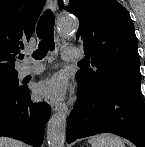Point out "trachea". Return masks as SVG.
<instances>
[{
  "mask_svg": "<svg viewBox=\"0 0 145 147\" xmlns=\"http://www.w3.org/2000/svg\"><path fill=\"white\" fill-rule=\"evenodd\" d=\"M54 24L55 17L51 10H46L39 19L36 32L41 40L38 49L33 53L37 60L43 59L49 50H54Z\"/></svg>",
  "mask_w": 145,
  "mask_h": 147,
  "instance_id": "obj_1",
  "label": "trachea"
}]
</instances>
